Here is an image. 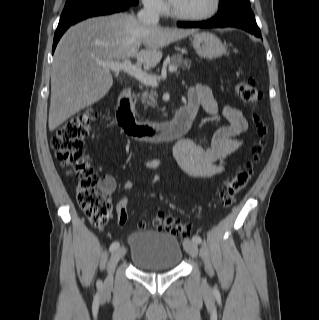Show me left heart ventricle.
Returning <instances> with one entry per match:
<instances>
[{
	"instance_id": "obj_1",
	"label": "left heart ventricle",
	"mask_w": 319,
	"mask_h": 320,
	"mask_svg": "<svg viewBox=\"0 0 319 320\" xmlns=\"http://www.w3.org/2000/svg\"><path fill=\"white\" fill-rule=\"evenodd\" d=\"M213 0H178L174 9L181 14L196 15L209 11Z\"/></svg>"
}]
</instances>
